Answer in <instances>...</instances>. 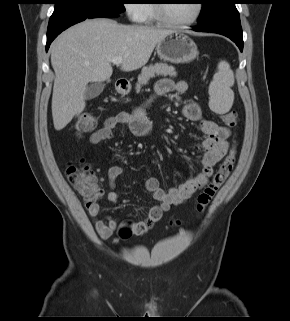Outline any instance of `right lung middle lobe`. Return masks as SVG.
<instances>
[{
    "instance_id": "obj_1",
    "label": "right lung middle lobe",
    "mask_w": 290,
    "mask_h": 321,
    "mask_svg": "<svg viewBox=\"0 0 290 321\" xmlns=\"http://www.w3.org/2000/svg\"><path fill=\"white\" fill-rule=\"evenodd\" d=\"M50 20L64 17H101L125 11L124 0H54Z\"/></svg>"
}]
</instances>
